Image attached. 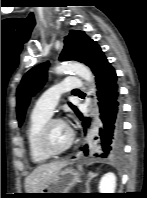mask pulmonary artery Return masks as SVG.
I'll list each match as a JSON object with an SVG mask.
<instances>
[{
  "mask_svg": "<svg viewBox=\"0 0 147 198\" xmlns=\"http://www.w3.org/2000/svg\"><path fill=\"white\" fill-rule=\"evenodd\" d=\"M82 86V81L77 77H68L61 83L46 90L36 101L33 111L51 116L57 106L61 95L78 89Z\"/></svg>",
  "mask_w": 147,
  "mask_h": 198,
  "instance_id": "obj_1",
  "label": "pulmonary artery"
}]
</instances>
